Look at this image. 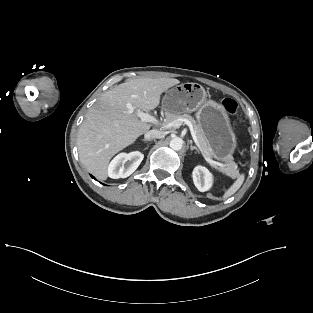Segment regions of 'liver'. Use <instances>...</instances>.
<instances>
[{
	"label": "liver",
	"instance_id": "1",
	"mask_svg": "<svg viewBox=\"0 0 313 313\" xmlns=\"http://www.w3.org/2000/svg\"><path fill=\"white\" fill-rule=\"evenodd\" d=\"M177 84L179 80L173 78H138L105 92L89 109L78 131L79 158L87 170L106 180L111 158L151 127L139 119L137 112L156 108L161 94Z\"/></svg>",
	"mask_w": 313,
	"mask_h": 313
}]
</instances>
